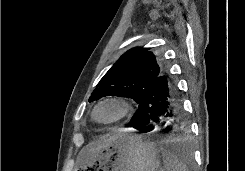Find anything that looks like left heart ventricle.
Returning <instances> with one entry per match:
<instances>
[{
  "label": "left heart ventricle",
  "mask_w": 245,
  "mask_h": 171,
  "mask_svg": "<svg viewBox=\"0 0 245 171\" xmlns=\"http://www.w3.org/2000/svg\"><path fill=\"white\" fill-rule=\"evenodd\" d=\"M119 107L113 104H106L98 109L97 117L102 121H108L119 114Z\"/></svg>",
  "instance_id": "left-heart-ventricle-1"
}]
</instances>
